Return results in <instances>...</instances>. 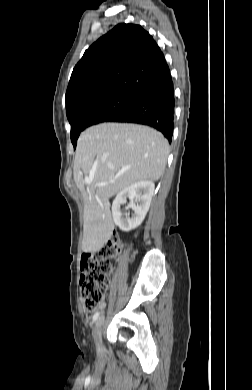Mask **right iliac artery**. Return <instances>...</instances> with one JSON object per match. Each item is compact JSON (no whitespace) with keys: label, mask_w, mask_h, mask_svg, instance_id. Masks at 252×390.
Listing matches in <instances>:
<instances>
[{"label":"right iliac artery","mask_w":252,"mask_h":390,"mask_svg":"<svg viewBox=\"0 0 252 390\" xmlns=\"http://www.w3.org/2000/svg\"><path fill=\"white\" fill-rule=\"evenodd\" d=\"M99 317V312H96L94 315H93V322H95Z\"/></svg>","instance_id":"right-iliac-artery-1"}]
</instances>
